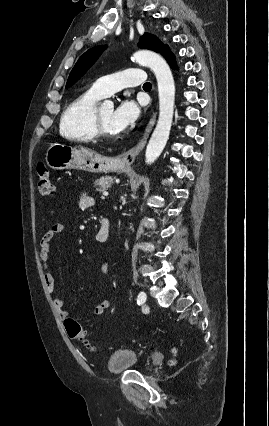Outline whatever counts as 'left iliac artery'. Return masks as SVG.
I'll list each match as a JSON object with an SVG mask.
<instances>
[{
    "label": "left iliac artery",
    "mask_w": 269,
    "mask_h": 426,
    "mask_svg": "<svg viewBox=\"0 0 269 426\" xmlns=\"http://www.w3.org/2000/svg\"><path fill=\"white\" fill-rule=\"evenodd\" d=\"M146 301V294L144 292H140L137 298V304L141 305Z\"/></svg>",
    "instance_id": "obj_1"
}]
</instances>
